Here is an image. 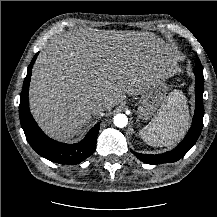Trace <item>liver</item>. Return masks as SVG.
I'll use <instances>...</instances> for the list:
<instances>
[{
    "instance_id": "obj_1",
    "label": "liver",
    "mask_w": 217,
    "mask_h": 217,
    "mask_svg": "<svg viewBox=\"0 0 217 217\" xmlns=\"http://www.w3.org/2000/svg\"><path fill=\"white\" fill-rule=\"evenodd\" d=\"M137 45L97 31L52 37L33 67L29 91L31 109L42 128L57 138H69L89 122L91 102H104V109L110 110L125 93L139 95L143 87L156 83L138 67ZM172 62L152 61L154 69L162 71Z\"/></svg>"
}]
</instances>
